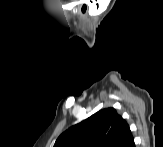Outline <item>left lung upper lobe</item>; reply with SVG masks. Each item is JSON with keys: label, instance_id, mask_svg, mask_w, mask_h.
Returning a JSON list of instances; mask_svg holds the SVG:
<instances>
[{"label": "left lung upper lobe", "instance_id": "1", "mask_svg": "<svg viewBox=\"0 0 163 147\" xmlns=\"http://www.w3.org/2000/svg\"><path fill=\"white\" fill-rule=\"evenodd\" d=\"M127 127L114 108H106L63 132L54 147H115Z\"/></svg>", "mask_w": 163, "mask_h": 147}]
</instances>
